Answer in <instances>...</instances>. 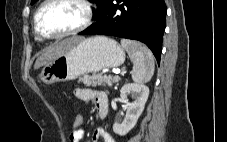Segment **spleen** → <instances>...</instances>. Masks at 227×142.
<instances>
[{
	"mask_svg": "<svg viewBox=\"0 0 227 142\" xmlns=\"http://www.w3.org/2000/svg\"><path fill=\"white\" fill-rule=\"evenodd\" d=\"M122 47L127 51L132 63V79L138 84L149 82L154 74V56L147 46L140 42L121 39Z\"/></svg>",
	"mask_w": 227,
	"mask_h": 142,
	"instance_id": "3e777b00",
	"label": "spleen"
}]
</instances>
